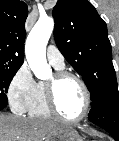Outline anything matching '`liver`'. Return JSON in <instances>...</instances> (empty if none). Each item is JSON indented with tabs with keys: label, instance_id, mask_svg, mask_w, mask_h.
Wrapping results in <instances>:
<instances>
[{
	"label": "liver",
	"instance_id": "6515ba94",
	"mask_svg": "<svg viewBox=\"0 0 119 141\" xmlns=\"http://www.w3.org/2000/svg\"><path fill=\"white\" fill-rule=\"evenodd\" d=\"M62 127L47 119L0 114V141H43Z\"/></svg>",
	"mask_w": 119,
	"mask_h": 141
}]
</instances>
